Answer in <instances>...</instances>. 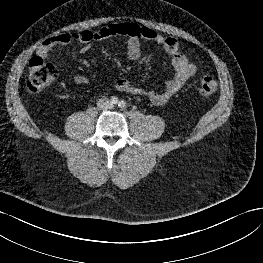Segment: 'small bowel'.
Returning <instances> with one entry per match:
<instances>
[{
	"label": "small bowel",
	"instance_id": "1",
	"mask_svg": "<svg viewBox=\"0 0 263 263\" xmlns=\"http://www.w3.org/2000/svg\"><path fill=\"white\" fill-rule=\"evenodd\" d=\"M110 37H123L127 41V56L131 60L141 57V41L148 40L160 46L171 58L174 75L167 81L165 87L159 91L144 89L133 85L127 79H118L115 89L133 95L147 97L151 103L160 106L168 102L196 73V66L187 55L179 48L178 41L173 37H164L149 27L139 26L134 23H113L98 29L97 31L80 30L73 33H61L44 40L38 47L37 53L42 58H47L56 46L66 45L72 41L82 44L81 51L86 52L91 43L102 41ZM78 85H86L88 79L82 74L74 77Z\"/></svg>",
	"mask_w": 263,
	"mask_h": 263
}]
</instances>
